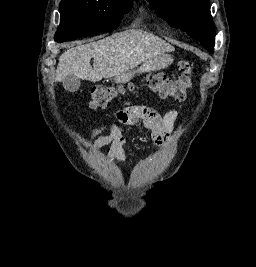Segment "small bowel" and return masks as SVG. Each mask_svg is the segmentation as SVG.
I'll return each mask as SVG.
<instances>
[{"instance_id":"c3829d8e","label":"small bowel","mask_w":256,"mask_h":267,"mask_svg":"<svg viewBox=\"0 0 256 267\" xmlns=\"http://www.w3.org/2000/svg\"><path fill=\"white\" fill-rule=\"evenodd\" d=\"M177 117L176 110L159 113L151 108L137 106L126 101L121 109L113 113V120L109 123V134L99 137L93 142L90 141L89 146L97 151L103 146L110 145L108 159L118 164H124L127 141L117 122L136 127L142 133L149 130L153 142L159 147H164L170 140ZM105 127V123L97 124L91 129L90 136L99 134Z\"/></svg>"}]
</instances>
